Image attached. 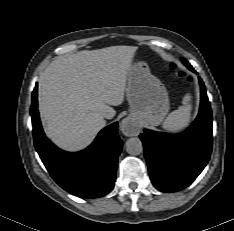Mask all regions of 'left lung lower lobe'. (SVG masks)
<instances>
[{"label": "left lung lower lobe", "instance_id": "obj_1", "mask_svg": "<svg viewBox=\"0 0 234 231\" xmlns=\"http://www.w3.org/2000/svg\"><path fill=\"white\" fill-rule=\"evenodd\" d=\"M184 65L195 72L183 60ZM198 117L183 133L169 135L144 130L140 139L153 185L162 192H176L191 184L206 166L212 150V113L202 79Z\"/></svg>", "mask_w": 234, "mask_h": 231}]
</instances>
